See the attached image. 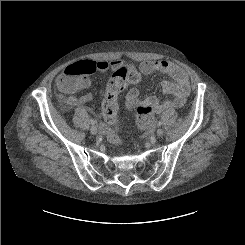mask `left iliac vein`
<instances>
[{
    "label": "left iliac vein",
    "mask_w": 245,
    "mask_h": 245,
    "mask_svg": "<svg viewBox=\"0 0 245 245\" xmlns=\"http://www.w3.org/2000/svg\"><path fill=\"white\" fill-rule=\"evenodd\" d=\"M157 136H161L163 134V129L159 128L156 132Z\"/></svg>",
    "instance_id": "4c4485c4"
}]
</instances>
